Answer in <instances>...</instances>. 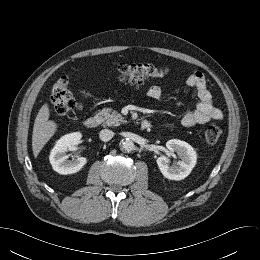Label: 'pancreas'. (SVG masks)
I'll list each match as a JSON object with an SVG mask.
<instances>
[{
	"label": "pancreas",
	"mask_w": 260,
	"mask_h": 260,
	"mask_svg": "<svg viewBox=\"0 0 260 260\" xmlns=\"http://www.w3.org/2000/svg\"><path fill=\"white\" fill-rule=\"evenodd\" d=\"M96 117L103 123V126H119L125 122L124 117L117 111H112L111 108H103Z\"/></svg>",
	"instance_id": "cf45deb5"
}]
</instances>
